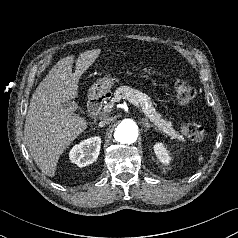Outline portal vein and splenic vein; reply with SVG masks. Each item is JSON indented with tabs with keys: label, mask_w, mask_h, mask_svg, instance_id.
I'll return each mask as SVG.
<instances>
[{
	"label": "portal vein and splenic vein",
	"mask_w": 238,
	"mask_h": 238,
	"mask_svg": "<svg viewBox=\"0 0 238 238\" xmlns=\"http://www.w3.org/2000/svg\"><path fill=\"white\" fill-rule=\"evenodd\" d=\"M130 103H132L134 106H136L140 111H142V108H141V105L137 102V101H135V100H133V99H127ZM112 107H113V105H110V106H105L104 107V110L105 111H110L111 109H112ZM143 112V111H142Z\"/></svg>",
	"instance_id": "1"
}]
</instances>
